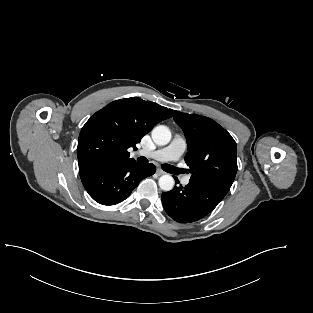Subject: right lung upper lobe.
Returning <instances> with one entry per match:
<instances>
[{
    "label": "right lung upper lobe",
    "instance_id": "1",
    "mask_svg": "<svg viewBox=\"0 0 313 313\" xmlns=\"http://www.w3.org/2000/svg\"><path fill=\"white\" fill-rule=\"evenodd\" d=\"M171 116L166 107L137 97L109 103L81 129L77 147L79 172L136 163L129 158L128 148L137 149L144 135Z\"/></svg>",
    "mask_w": 313,
    "mask_h": 313
}]
</instances>
